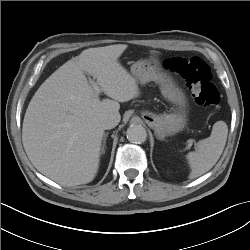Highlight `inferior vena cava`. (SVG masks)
<instances>
[{
	"label": "inferior vena cava",
	"instance_id": "1",
	"mask_svg": "<svg viewBox=\"0 0 250 250\" xmlns=\"http://www.w3.org/2000/svg\"><path fill=\"white\" fill-rule=\"evenodd\" d=\"M119 121H120L119 117L115 115H107L102 119L101 126L105 130L112 129L118 125Z\"/></svg>",
	"mask_w": 250,
	"mask_h": 250
}]
</instances>
